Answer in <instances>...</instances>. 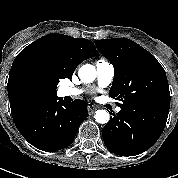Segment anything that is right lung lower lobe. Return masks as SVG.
Segmentation results:
<instances>
[{
    "label": "right lung lower lobe",
    "mask_w": 178,
    "mask_h": 178,
    "mask_svg": "<svg viewBox=\"0 0 178 178\" xmlns=\"http://www.w3.org/2000/svg\"><path fill=\"white\" fill-rule=\"evenodd\" d=\"M11 112L22 136L34 147L49 152L69 146L88 116L83 100L65 103L57 96L24 99L11 107Z\"/></svg>",
    "instance_id": "1"
}]
</instances>
